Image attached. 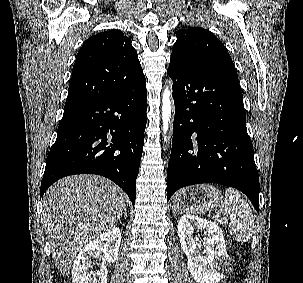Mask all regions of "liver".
Here are the masks:
<instances>
[{
	"label": "liver",
	"mask_w": 303,
	"mask_h": 283,
	"mask_svg": "<svg viewBox=\"0 0 303 283\" xmlns=\"http://www.w3.org/2000/svg\"><path fill=\"white\" fill-rule=\"evenodd\" d=\"M124 209L123 190L100 176H69L46 191L43 223L61 275L68 276L77 253L110 230Z\"/></svg>",
	"instance_id": "6515ba94"
}]
</instances>
